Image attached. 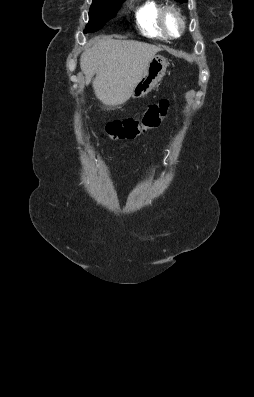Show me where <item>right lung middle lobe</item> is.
<instances>
[{"label":"right lung middle lobe","instance_id":"dd1d6c3e","mask_svg":"<svg viewBox=\"0 0 254 397\" xmlns=\"http://www.w3.org/2000/svg\"><path fill=\"white\" fill-rule=\"evenodd\" d=\"M125 0H93L89 11V22L84 33L96 32L116 16Z\"/></svg>","mask_w":254,"mask_h":397}]
</instances>
